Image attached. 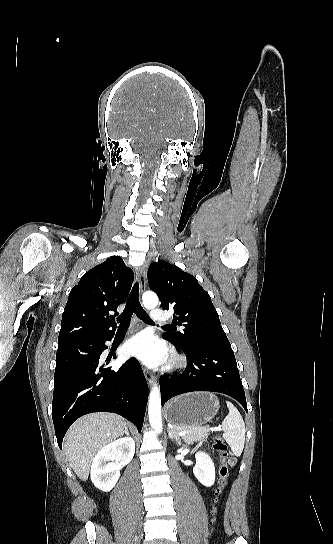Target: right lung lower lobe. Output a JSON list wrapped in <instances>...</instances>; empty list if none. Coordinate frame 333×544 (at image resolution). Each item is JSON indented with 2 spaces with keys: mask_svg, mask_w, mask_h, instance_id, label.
Instances as JSON below:
<instances>
[{
  "mask_svg": "<svg viewBox=\"0 0 333 544\" xmlns=\"http://www.w3.org/2000/svg\"><path fill=\"white\" fill-rule=\"evenodd\" d=\"M114 333L76 339L58 345L54 376L52 419L59 447L71 424L92 412H113L141 431L148 385L139 362L127 360L112 370L100 358Z\"/></svg>",
  "mask_w": 333,
  "mask_h": 544,
  "instance_id": "1",
  "label": "right lung lower lobe"
}]
</instances>
